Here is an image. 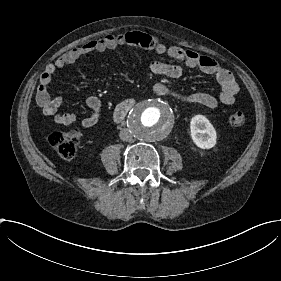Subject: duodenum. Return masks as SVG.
Listing matches in <instances>:
<instances>
[{
  "label": "duodenum",
  "instance_id": "obj_1",
  "mask_svg": "<svg viewBox=\"0 0 281 281\" xmlns=\"http://www.w3.org/2000/svg\"><path fill=\"white\" fill-rule=\"evenodd\" d=\"M134 104L135 101L131 99L118 104L113 113L114 120L117 123L122 122L126 118L128 112L133 108Z\"/></svg>",
  "mask_w": 281,
  "mask_h": 281
}]
</instances>
